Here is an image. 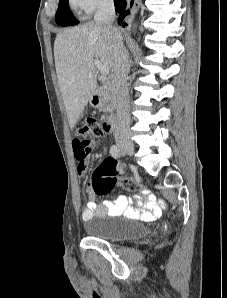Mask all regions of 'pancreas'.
I'll use <instances>...</instances> for the list:
<instances>
[{"mask_svg": "<svg viewBox=\"0 0 227 298\" xmlns=\"http://www.w3.org/2000/svg\"><path fill=\"white\" fill-rule=\"evenodd\" d=\"M102 95H103V105L99 108V110L104 113L112 112L114 109V98L111 90L103 89Z\"/></svg>", "mask_w": 227, "mask_h": 298, "instance_id": "obj_1", "label": "pancreas"}]
</instances>
